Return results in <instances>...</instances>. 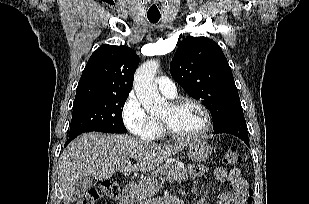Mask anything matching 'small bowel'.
I'll return each instance as SVG.
<instances>
[{
    "mask_svg": "<svg viewBox=\"0 0 309 204\" xmlns=\"http://www.w3.org/2000/svg\"><path fill=\"white\" fill-rule=\"evenodd\" d=\"M194 175L203 173V169L195 167L192 169ZM213 176L217 181H228L232 184L233 191L230 194L222 193L218 196L217 204H245L249 189V184L242 176L238 168L216 167Z\"/></svg>",
    "mask_w": 309,
    "mask_h": 204,
    "instance_id": "obj_1",
    "label": "small bowel"
}]
</instances>
